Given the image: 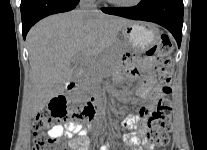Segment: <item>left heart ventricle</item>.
Here are the masks:
<instances>
[{
	"instance_id": "1",
	"label": "left heart ventricle",
	"mask_w": 207,
	"mask_h": 150,
	"mask_svg": "<svg viewBox=\"0 0 207 150\" xmlns=\"http://www.w3.org/2000/svg\"><path fill=\"white\" fill-rule=\"evenodd\" d=\"M116 1H119V2H131L133 0H116Z\"/></svg>"
}]
</instances>
